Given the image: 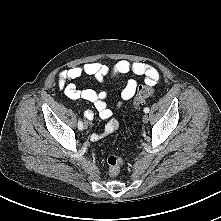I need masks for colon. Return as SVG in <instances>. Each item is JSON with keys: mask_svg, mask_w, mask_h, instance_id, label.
Segmentation results:
<instances>
[{"mask_svg": "<svg viewBox=\"0 0 221 221\" xmlns=\"http://www.w3.org/2000/svg\"><path fill=\"white\" fill-rule=\"evenodd\" d=\"M153 93L154 89L151 86L149 85L140 86L133 101L134 105L138 107L145 99L151 97ZM107 164L109 167V174L111 176H116L123 165V158L118 155H110L107 158Z\"/></svg>", "mask_w": 221, "mask_h": 221, "instance_id": "1", "label": "colon"}]
</instances>
